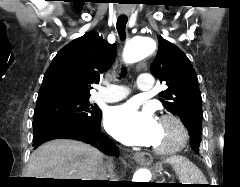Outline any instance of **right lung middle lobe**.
<instances>
[{
    "instance_id": "right-lung-middle-lobe-1",
    "label": "right lung middle lobe",
    "mask_w": 240,
    "mask_h": 187,
    "mask_svg": "<svg viewBox=\"0 0 240 187\" xmlns=\"http://www.w3.org/2000/svg\"><path fill=\"white\" fill-rule=\"evenodd\" d=\"M99 113V108L89 103V97L59 99L37 105L34 111L33 124L53 117L84 124L93 121Z\"/></svg>"
}]
</instances>
